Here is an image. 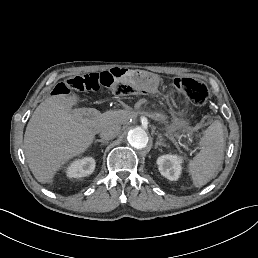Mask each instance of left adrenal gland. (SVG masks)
Instances as JSON below:
<instances>
[{"label": "left adrenal gland", "instance_id": "left-adrenal-gland-1", "mask_svg": "<svg viewBox=\"0 0 258 258\" xmlns=\"http://www.w3.org/2000/svg\"><path fill=\"white\" fill-rule=\"evenodd\" d=\"M159 145L166 147V144L163 142V139H162V138H160V139L155 143V148H158Z\"/></svg>", "mask_w": 258, "mask_h": 258}]
</instances>
